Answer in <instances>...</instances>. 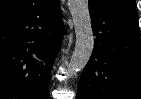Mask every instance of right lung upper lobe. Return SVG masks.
Masks as SVG:
<instances>
[{"instance_id":"obj_1","label":"right lung upper lobe","mask_w":141,"mask_h":99,"mask_svg":"<svg viewBox=\"0 0 141 99\" xmlns=\"http://www.w3.org/2000/svg\"><path fill=\"white\" fill-rule=\"evenodd\" d=\"M28 2H30V0H0V15L21 7Z\"/></svg>"}]
</instances>
